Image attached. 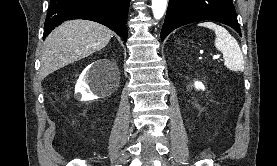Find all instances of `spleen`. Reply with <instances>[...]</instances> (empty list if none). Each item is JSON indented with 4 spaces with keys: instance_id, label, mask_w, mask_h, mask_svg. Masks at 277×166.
I'll return each instance as SVG.
<instances>
[{
    "instance_id": "spleen-1",
    "label": "spleen",
    "mask_w": 277,
    "mask_h": 166,
    "mask_svg": "<svg viewBox=\"0 0 277 166\" xmlns=\"http://www.w3.org/2000/svg\"><path fill=\"white\" fill-rule=\"evenodd\" d=\"M198 26L213 30L216 34L215 47L223 53L224 65L232 71L244 69V59L239 44L235 38L222 26L207 21Z\"/></svg>"
}]
</instances>
